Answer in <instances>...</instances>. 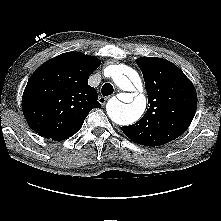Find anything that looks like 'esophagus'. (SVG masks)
<instances>
[{
    "label": "esophagus",
    "instance_id": "1",
    "mask_svg": "<svg viewBox=\"0 0 221 221\" xmlns=\"http://www.w3.org/2000/svg\"><path fill=\"white\" fill-rule=\"evenodd\" d=\"M109 99V97L100 96L98 98V101L101 105H105L106 101Z\"/></svg>",
    "mask_w": 221,
    "mask_h": 221
}]
</instances>
